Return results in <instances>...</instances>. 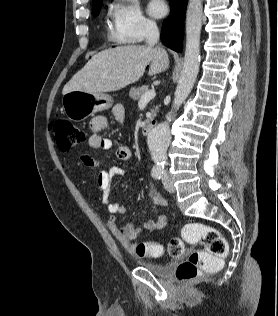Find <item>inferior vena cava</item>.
Masks as SVG:
<instances>
[{
    "label": "inferior vena cava",
    "instance_id": "inferior-vena-cava-1",
    "mask_svg": "<svg viewBox=\"0 0 278 316\" xmlns=\"http://www.w3.org/2000/svg\"><path fill=\"white\" fill-rule=\"evenodd\" d=\"M146 43L150 46L155 45L159 41V30L155 22H147L144 28Z\"/></svg>",
    "mask_w": 278,
    "mask_h": 316
}]
</instances>
